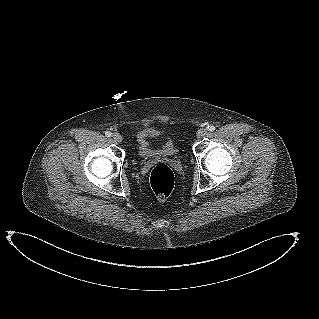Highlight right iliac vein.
I'll use <instances>...</instances> for the list:
<instances>
[{
    "label": "right iliac vein",
    "mask_w": 319,
    "mask_h": 319,
    "mask_svg": "<svg viewBox=\"0 0 319 319\" xmlns=\"http://www.w3.org/2000/svg\"><path fill=\"white\" fill-rule=\"evenodd\" d=\"M112 137H113L115 142H119L120 143L123 140V137L119 133H114Z\"/></svg>",
    "instance_id": "obj_1"
}]
</instances>
